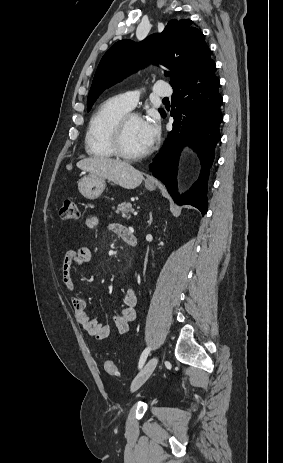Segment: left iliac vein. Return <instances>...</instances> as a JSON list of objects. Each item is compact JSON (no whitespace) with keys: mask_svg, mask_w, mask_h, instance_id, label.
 <instances>
[{"mask_svg":"<svg viewBox=\"0 0 283 463\" xmlns=\"http://www.w3.org/2000/svg\"><path fill=\"white\" fill-rule=\"evenodd\" d=\"M159 358L158 356L152 357L141 369L138 375L134 378L131 384V391L134 392L138 390L150 377L154 369L158 364Z\"/></svg>","mask_w":283,"mask_h":463,"instance_id":"1","label":"left iliac vein"}]
</instances>
